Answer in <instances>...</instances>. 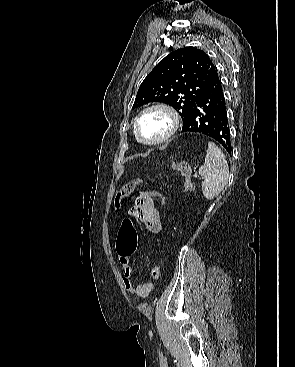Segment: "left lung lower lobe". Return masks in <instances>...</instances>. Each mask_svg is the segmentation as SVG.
<instances>
[{"label": "left lung lower lobe", "instance_id": "1", "mask_svg": "<svg viewBox=\"0 0 295 367\" xmlns=\"http://www.w3.org/2000/svg\"><path fill=\"white\" fill-rule=\"evenodd\" d=\"M182 132L207 135L231 153L227 106L216 70L188 110L183 121Z\"/></svg>", "mask_w": 295, "mask_h": 367}]
</instances>
